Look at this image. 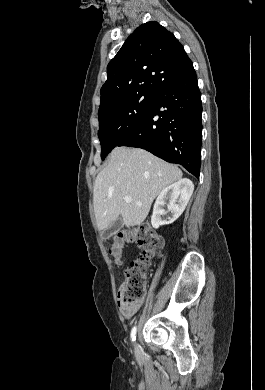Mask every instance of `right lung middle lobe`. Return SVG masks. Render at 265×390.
Wrapping results in <instances>:
<instances>
[{
  "mask_svg": "<svg viewBox=\"0 0 265 390\" xmlns=\"http://www.w3.org/2000/svg\"><path fill=\"white\" fill-rule=\"evenodd\" d=\"M154 94L141 93L116 102L98 112L101 159L132 130L148 112Z\"/></svg>",
  "mask_w": 265,
  "mask_h": 390,
  "instance_id": "dd1d6c3e",
  "label": "right lung middle lobe"
}]
</instances>
